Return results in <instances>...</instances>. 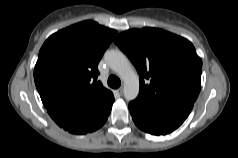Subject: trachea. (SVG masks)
Here are the masks:
<instances>
[{"label":"trachea","instance_id":"3493384b","mask_svg":"<svg viewBox=\"0 0 238 158\" xmlns=\"http://www.w3.org/2000/svg\"><path fill=\"white\" fill-rule=\"evenodd\" d=\"M108 85L111 87V88H118L120 85H121V81L118 77L114 76V75H111L109 76L108 78Z\"/></svg>","mask_w":238,"mask_h":158}]
</instances>
